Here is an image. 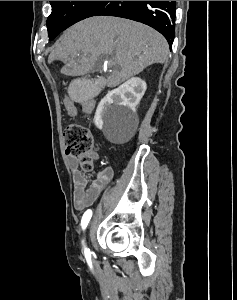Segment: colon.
Wrapping results in <instances>:
<instances>
[{
  "label": "colon",
  "mask_w": 237,
  "mask_h": 300,
  "mask_svg": "<svg viewBox=\"0 0 237 300\" xmlns=\"http://www.w3.org/2000/svg\"><path fill=\"white\" fill-rule=\"evenodd\" d=\"M64 106L69 115L76 114V108L73 101L65 97ZM65 143V152L69 156L78 157L80 167L85 172L93 170V160L88 155V151L92 148V134L90 130L77 123H69L63 131Z\"/></svg>",
  "instance_id": "1"
}]
</instances>
